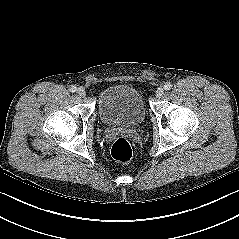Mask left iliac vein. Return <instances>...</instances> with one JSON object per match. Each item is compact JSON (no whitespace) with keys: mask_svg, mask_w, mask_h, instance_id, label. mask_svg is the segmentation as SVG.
Instances as JSON below:
<instances>
[{"mask_svg":"<svg viewBox=\"0 0 239 239\" xmlns=\"http://www.w3.org/2000/svg\"><path fill=\"white\" fill-rule=\"evenodd\" d=\"M163 94H164V88H163V87H159V88L156 90V97H157V98H160Z\"/></svg>","mask_w":239,"mask_h":239,"instance_id":"left-iliac-vein-1","label":"left iliac vein"}]
</instances>
